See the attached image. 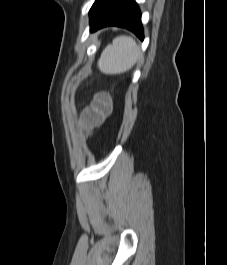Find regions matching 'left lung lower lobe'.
<instances>
[{"label":"left lung lower lobe","mask_w":227,"mask_h":265,"mask_svg":"<svg viewBox=\"0 0 227 265\" xmlns=\"http://www.w3.org/2000/svg\"><path fill=\"white\" fill-rule=\"evenodd\" d=\"M115 25L125 27L144 39L141 13L135 0H106L90 15V30Z\"/></svg>","instance_id":"obj_1"}]
</instances>
